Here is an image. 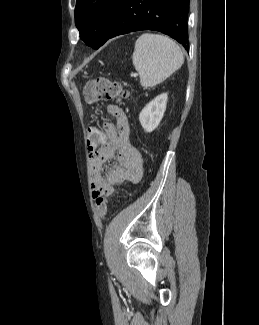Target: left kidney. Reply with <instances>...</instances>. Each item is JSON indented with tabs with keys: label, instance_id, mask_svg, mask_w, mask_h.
<instances>
[{
	"label": "left kidney",
	"instance_id": "obj_1",
	"mask_svg": "<svg viewBox=\"0 0 259 325\" xmlns=\"http://www.w3.org/2000/svg\"><path fill=\"white\" fill-rule=\"evenodd\" d=\"M167 93L155 97L139 114V121L146 132H152L161 122L167 104Z\"/></svg>",
	"mask_w": 259,
	"mask_h": 325
}]
</instances>
